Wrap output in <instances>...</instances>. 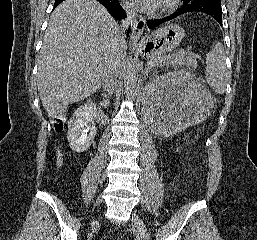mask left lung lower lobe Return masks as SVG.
Instances as JSON below:
<instances>
[{"label": "left lung lower lobe", "instance_id": "0a47b994", "mask_svg": "<svg viewBox=\"0 0 257 240\" xmlns=\"http://www.w3.org/2000/svg\"><path fill=\"white\" fill-rule=\"evenodd\" d=\"M189 12H202L208 14L213 17L220 25H222L221 3H207L198 6L182 5L176 12L167 17L161 19L147 20V26L150 29H153L164 22L170 21Z\"/></svg>", "mask_w": 257, "mask_h": 240}]
</instances>
